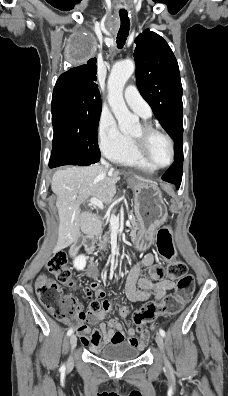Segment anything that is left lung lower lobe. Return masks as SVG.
<instances>
[{
    "label": "left lung lower lobe",
    "instance_id": "0a47b994",
    "mask_svg": "<svg viewBox=\"0 0 228 396\" xmlns=\"http://www.w3.org/2000/svg\"><path fill=\"white\" fill-rule=\"evenodd\" d=\"M174 152V163L162 176V179L166 182L175 184L176 189H178L181 184L183 170V136H180L175 140Z\"/></svg>",
    "mask_w": 228,
    "mask_h": 396
}]
</instances>
